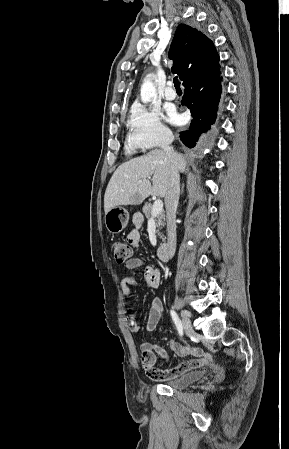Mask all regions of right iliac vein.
Instances as JSON below:
<instances>
[{
  "instance_id": "obj_1",
  "label": "right iliac vein",
  "mask_w": 289,
  "mask_h": 449,
  "mask_svg": "<svg viewBox=\"0 0 289 449\" xmlns=\"http://www.w3.org/2000/svg\"><path fill=\"white\" fill-rule=\"evenodd\" d=\"M181 316H182V320H183V328L185 330V333L187 335H191L193 333V327H192V324H191L189 318L184 313H182Z\"/></svg>"
}]
</instances>
